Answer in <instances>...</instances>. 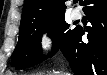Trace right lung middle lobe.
<instances>
[{"instance_id": "1", "label": "right lung middle lobe", "mask_w": 107, "mask_h": 75, "mask_svg": "<svg viewBox=\"0 0 107 75\" xmlns=\"http://www.w3.org/2000/svg\"><path fill=\"white\" fill-rule=\"evenodd\" d=\"M76 29H69L64 17L39 25L21 24L18 43L12 54V66L23 69L44 60L40 44L43 33L47 32L53 40L54 46L50 54L52 57L69 42Z\"/></svg>"}]
</instances>
